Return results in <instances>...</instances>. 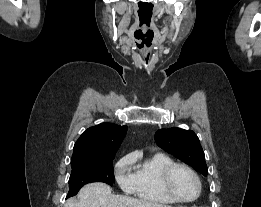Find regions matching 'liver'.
<instances>
[{
    "label": "liver",
    "instance_id": "6515ba94",
    "mask_svg": "<svg viewBox=\"0 0 261 207\" xmlns=\"http://www.w3.org/2000/svg\"><path fill=\"white\" fill-rule=\"evenodd\" d=\"M64 207H171L155 202L133 198L126 195H114L105 183L94 182L85 185L78 193V200L66 201Z\"/></svg>",
    "mask_w": 261,
    "mask_h": 207
}]
</instances>
